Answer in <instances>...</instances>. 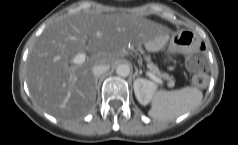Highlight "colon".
Here are the masks:
<instances>
[{
	"mask_svg": "<svg viewBox=\"0 0 238 145\" xmlns=\"http://www.w3.org/2000/svg\"><path fill=\"white\" fill-rule=\"evenodd\" d=\"M188 67L191 70L198 72L193 79L194 84L198 87L205 86V84L207 83V77L205 74L206 52L204 45H201L200 49L191 57H189Z\"/></svg>",
	"mask_w": 238,
	"mask_h": 145,
	"instance_id": "colon-1",
	"label": "colon"
}]
</instances>
